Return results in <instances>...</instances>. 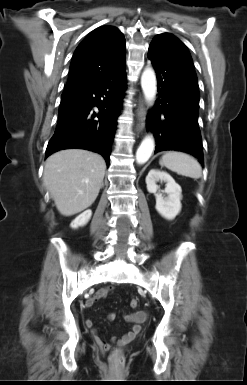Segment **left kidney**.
<instances>
[{
    "label": "left kidney",
    "mask_w": 247,
    "mask_h": 385,
    "mask_svg": "<svg viewBox=\"0 0 247 385\" xmlns=\"http://www.w3.org/2000/svg\"><path fill=\"white\" fill-rule=\"evenodd\" d=\"M164 181L166 183L163 193L167 194L164 197L162 193L158 192L159 187L157 181ZM147 190L149 193L155 194L156 210L167 220H173L181 211V187L175 180L166 172L152 169L146 176Z\"/></svg>",
    "instance_id": "left-kidney-1"
}]
</instances>
